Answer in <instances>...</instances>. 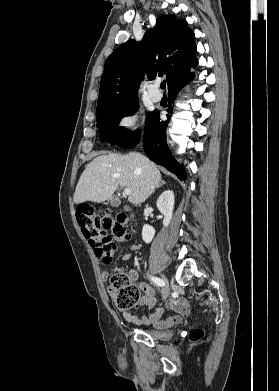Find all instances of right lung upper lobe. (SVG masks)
I'll use <instances>...</instances> for the list:
<instances>
[{
    "label": "right lung upper lobe",
    "mask_w": 279,
    "mask_h": 391,
    "mask_svg": "<svg viewBox=\"0 0 279 391\" xmlns=\"http://www.w3.org/2000/svg\"><path fill=\"white\" fill-rule=\"evenodd\" d=\"M194 39L185 20L163 15L141 42L131 39L119 46L105 63L97 113L138 101L145 74L150 80L166 75L170 90L198 64Z\"/></svg>",
    "instance_id": "1"
}]
</instances>
